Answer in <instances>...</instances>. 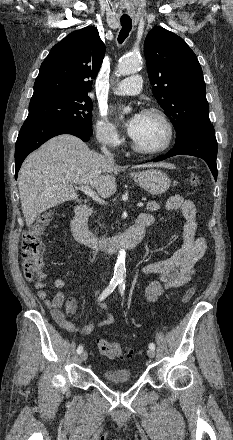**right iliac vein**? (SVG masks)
<instances>
[{
  "label": "right iliac vein",
  "mask_w": 233,
  "mask_h": 440,
  "mask_svg": "<svg viewBox=\"0 0 233 440\" xmlns=\"http://www.w3.org/2000/svg\"><path fill=\"white\" fill-rule=\"evenodd\" d=\"M87 357H88V353H87L86 351H82V352L80 353V361H81V362L86 361V360H87Z\"/></svg>",
  "instance_id": "1"
}]
</instances>
